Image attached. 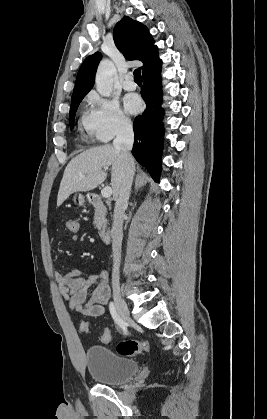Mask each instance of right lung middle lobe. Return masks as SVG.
<instances>
[{
    "label": "right lung middle lobe",
    "mask_w": 267,
    "mask_h": 419,
    "mask_svg": "<svg viewBox=\"0 0 267 419\" xmlns=\"http://www.w3.org/2000/svg\"><path fill=\"white\" fill-rule=\"evenodd\" d=\"M84 98V96H80V97H73L71 99V107H70V125H71V129L74 126V119H75V114L77 111V108L80 104V102L82 101V99Z\"/></svg>",
    "instance_id": "obj_1"
}]
</instances>
